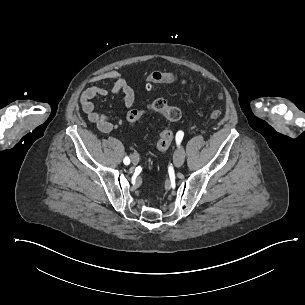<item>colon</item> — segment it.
I'll return each mask as SVG.
<instances>
[{
	"label": "colon",
	"instance_id": "obj_1",
	"mask_svg": "<svg viewBox=\"0 0 305 305\" xmlns=\"http://www.w3.org/2000/svg\"><path fill=\"white\" fill-rule=\"evenodd\" d=\"M181 81V76L179 74H174L173 71L168 70L165 73L160 71L152 70L149 72L147 78L143 79L142 84L145 87L150 85H160L161 84H174ZM187 84L190 86V82L182 80L181 84ZM147 112H156L163 114L164 118L168 122H176L180 119L181 112L178 108L171 106L167 101L163 99H156L148 103L146 106L138 109L130 110L126 114V121L128 123H136L141 117ZM222 115L220 110H213L211 112V117L213 119H218ZM174 134L171 130H163L159 132L158 139L156 142V149L158 151L167 150L173 143Z\"/></svg>",
	"mask_w": 305,
	"mask_h": 305
}]
</instances>
